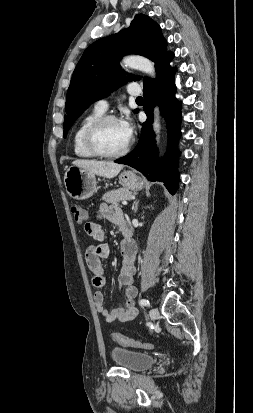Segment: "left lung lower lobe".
I'll use <instances>...</instances> for the list:
<instances>
[{
	"label": "left lung lower lobe",
	"instance_id": "1",
	"mask_svg": "<svg viewBox=\"0 0 253 413\" xmlns=\"http://www.w3.org/2000/svg\"><path fill=\"white\" fill-rule=\"evenodd\" d=\"M174 57L170 53L157 71V78L144 83L143 96L147 120L142 124L141 137L135 150L130 154L117 159L115 162L129 165L140 171L150 181L164 182L171 194L177 190L179 175L174 166L176 161V147L179 140L180 103L175 98V69L169 63ZM158 104L163 112L169 136V148L165 157L157 158V148L154 144L152 130L153 108Z\"/></svg>",
	"mask_w": 253,
	"mask_h": 413
}]
</instances>
